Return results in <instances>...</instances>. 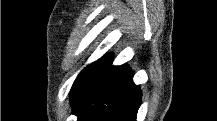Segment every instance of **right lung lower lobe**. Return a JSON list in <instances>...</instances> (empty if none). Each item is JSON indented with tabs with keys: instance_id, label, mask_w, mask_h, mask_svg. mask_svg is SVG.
Returning a JSON list of instances; mask_svg holds the SVG:
<instances>
[{
	"instance_id": "1",
	"label": "right lung lower lobe",
	"mask_w": 217,
	"mask_h": 121,
	"mask_svg": "<svg viewBox=\"0 0 217 121\" xmlns=\"http://www.w3.org/2000/svg\"><path fill=\"white\" fill-rule=\"evenodd\" d=\"M112 61V55H105L72 87V113L78 121H136L141 90L129 66H112Z\"/></svg>"
}]
</instances>
